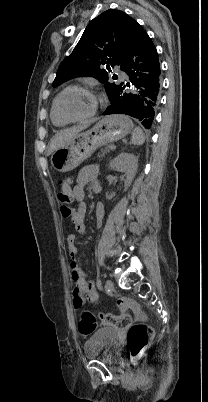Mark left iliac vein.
<instances>
[{"label": "left iliac vein", "instance_id": "4c4485c4", "mask_svg": "<svg viewBox=\"0 0 208 402\" xmlns=\"http://www.w3.org/2000/svg\"><path fill=\"white\" fill-rule=\"evenodd\" d=\"M105 290L109 294H112V292L114 291V284L110 279H108L105 283Z\"/></svg>", "mask_w": 208, "mask_h": 402}]
</instances>
